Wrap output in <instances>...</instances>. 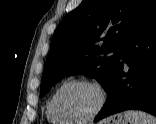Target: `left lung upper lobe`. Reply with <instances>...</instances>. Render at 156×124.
Listing matches in <instances>:
<instances>
[{
    "instance_id": "1",
    "label": "left lung upper lobe",
    "mask_w": 156,
    "mask_h": 124,
    "mask_svg": "<svg viewBox=\"0 0 156 124\" xmlns=\"http://www.w3.org/2000/svg\"><path fill=\"white\" fill-rule=\"evenodd\" d=\"M155 1L84 0L53 34L40 95L67 74H85L107 90L123 47ZM111 52L114 54L108 56Z\"/></svg>"
}]
</instances>
